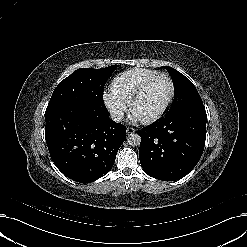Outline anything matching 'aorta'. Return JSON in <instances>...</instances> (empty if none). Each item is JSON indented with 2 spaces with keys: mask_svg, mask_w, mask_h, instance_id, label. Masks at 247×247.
I'll use <instances>...</instances> for the list:
<instances>
[{
  "mask_svg": "<svg viewBox=\"0 0 247 247\" xmlns=\"http://www.w3.org/2000/svg\"><path fill=\"white\" fill-rule=\"evenodd\" d=\"M127 142L130 146H139L141 142V137L137 133H131L127 137Z\"/></svg>",
  "mask_w": 247,
  "mask_h": 247,
  "instance_id": "1",
  "label": "aorta"
}]
</instances>
